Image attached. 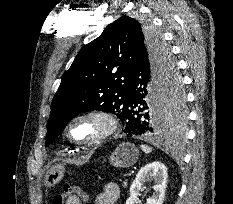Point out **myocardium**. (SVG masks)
Returning a JSON list of instances; mask_svg holds the SVG:
<instances>
[{"mask_svg":"<svg viewBox=\"0 0 233 204\" xmlns=\"http://www.w3.org/2000/svg\"><path fill=\"white\" fill-rule=\"evenodd\" d=\"M81 121H95L100 123L102 128L99 133L91 138L77 140L72 136L71 129L76 123ZM117 128L118 121L113 114L104 110H89L73 116L66 124L65 134L70 141L76 144L91 145L107 139L115 133Z\"/></svg>","mask_w":233,"mask_h":204,"instance_id":"obj_1","label":"myocardium"}]
</instances>
